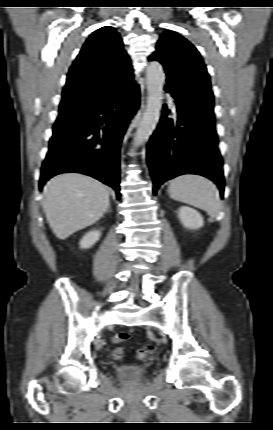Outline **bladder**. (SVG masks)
<instances>
[{
    "label": "bladder",
    "mask_w": 273,
    "mask_h": 430,
    "mask_svg": "<svg viewBox=\"0 0 273 430\" xmlns=\"http://www.w3.org/2000/svg\"><path fill=\"white\" fill-rule=\"evenodd\" d=\"M117 375L125 381H135L143 377L146 368L138 365H122L116 369Z\"/></svg>",
    "instance_id": "obj_1"
}]
</instances>
